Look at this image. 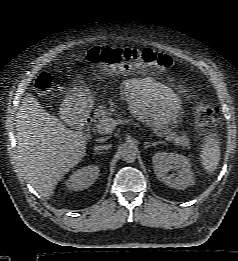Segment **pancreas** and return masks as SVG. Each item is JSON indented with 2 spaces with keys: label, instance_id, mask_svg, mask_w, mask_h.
Returning a JSON list of instances; mask_svg holds the SVG:
<instances>
[{
  "label": "pancreas",
  "instance_id": "1",
  "mask_svg": "<svg viewBox=\"0 0 238 261\" xmlns=\"http://www.w3.org/2000/svg\"><path fill=\"white\" fill-rule=\"evenodd\" d=\"M113 104L109 107L106 105H100L94 111V122L95 125H99L106 118L111 117L116 112ZM152 132L161 138H165L166 141L172 142L176 146H180L182 148H190V140L186 136L185 133H176L171 129H166L163 125L155 124L151 126Z\"/></svg>",
  "mask_w": 238,
  "mask_h": 261
}]
</instances>
